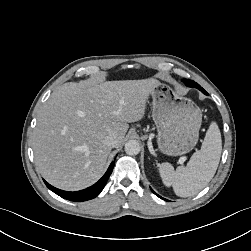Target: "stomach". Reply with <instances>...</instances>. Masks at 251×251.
Instances as JSON below:
<instances>
[{
    "instance_id": "stomach-1",
    "label": "stomach",
    "mask_w": 251,
    "mask_h": 251,
    "mask_svg": "<svg viewBox=\"0 0 251 251\" xmlns=\"http://www.w3.org/2000/svg\"><path fill=\"white\" fill-rule=\"evenodd\" d=\"M150 95L159 150L168 156L190 152L199 137L202 122L200 108L160 82L154 86Z\"/></svg>"
}]
</instances>
